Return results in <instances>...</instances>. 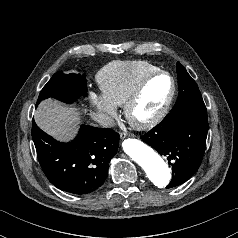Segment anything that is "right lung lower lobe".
Wrapping results in <instances>:
<instances>
[{
  "mask_svg": "<svg viewBox=\"0 0 238 238\" xmlns=\"http://www.w3.org/2000/svg\"><path fill=\"white\" fill-rule=\"evenodd\" d=\"M32 138L48 180L62 191L83 195L105 181L108 163L117 153L119 134L109 128L81 125L76 138L61 143L32 121Z\"/></svg>",
  "mask_w": 238,
  "mask_h": 238,
  "instance_id": "right-lung-lower-lobe-1",
  "label": "right lung lower lobe"
}]
</instances>
